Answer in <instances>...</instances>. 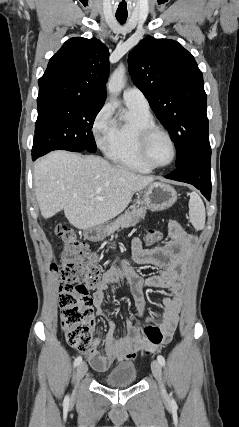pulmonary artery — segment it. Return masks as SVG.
<instances>
[{
  "label": "pulmonary artery",
  "mask_w": 239,
  "mask_h": 427,
  "mask_svg": "<svg viewBox=\"0 0 239 427\" xmlns=\"http://www.w3.org/2000/svg\"><path fill=\"white\" fill-rule=\"evenodd\" d=\"M123 100L127 106H134L142 110L150 111L147 98L138 88H127L123 93Z\"/></svg>",
  "instance_id": "pulmonary-artery-1"
}]
</instances>
